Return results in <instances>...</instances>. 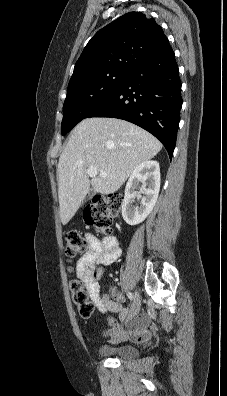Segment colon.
<instances>
[{"mask_svg": "<svg viewBox=\"0 0 227 396\" xmlns=\"http://www.w3.org/2000/svg\"><path fill=\"white\" fill-rule=\"evenodd\" d=\"M121 207L122 197L118 194L96 196L84 211L85 223L101 233L108 234ZM87 248V241L78 232L72 231L66 235L65 253L68 258L85 254ZM69 288L80 316L84 319L90 318L94 311V304L89 301L83 282L80 279H72L69 282Z\"/></svg>", "mask_w": 227, "mask_h": 396, "instance_id": "obj_1", "label": "colon"}]
</instances>
